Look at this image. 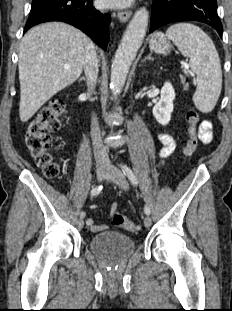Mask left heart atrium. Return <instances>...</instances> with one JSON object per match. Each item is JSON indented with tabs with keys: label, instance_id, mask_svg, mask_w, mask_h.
<instances>
[{
	"label": "left heart atrium",
	"instance_id": "1",
	"mask_svg": "<svg viewBox=\"0 0 232 311\" xmlns=\"http://www.w3.org/2000/svg\"><path fill=\"white\" fill-rule=\"evenodd\" d=\"M133 0H101L105 7L109 8H124L132 4Z\"/></svg>",
	"mask_w": 232,
	"mask_h": 311
}]
</instances>
